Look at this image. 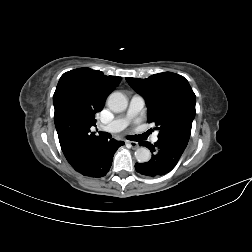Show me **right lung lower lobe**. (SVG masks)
I'll list each match as a JSON object with an SVG mask.
<instances>
[{"instance_id": "98d812e1", "label": "right lung lower lobe", "mask_w": 252, "mask_h": 252, "mask_svg": "<svg viewBox=\"0 0 252 252\" xmlns=\"http://www.w3.org/2000/svg\"><path fill=\"white\" fill-rule=\"evenodd\" d=\"M124 145L122 141L101 138L79 148L67 161L84 176L100 178L109 171L114 153Z\"/></svg>"}]
</instances>
